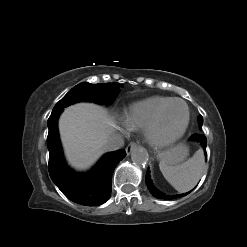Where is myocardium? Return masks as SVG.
<instances>
[{
	"label": "myocardium",
	"instance_id": "1",
	"mask_svg": "<svg viewBox=\"0 0 247 247\" xmlns=\"http://www.w3.org/2000/svg\"><path fill=\"white\" fill-rule=\"evenodd\" d=\"M175 102H180L184 104L186 108L185 122L176 133L171 134V135H163L159 132L160 120L164 112L166 111V109ZM189 123H190V109H189L188 104L183 99L172 98L167 103H165L154 115L153 119L151 120L147 128L145 129L146 138L148 142L156 148L167 147L169 145H172L176 141H178L184 135V133L186 132L189 126Z\"/></svg>",
	"mask_w": 247,
	"mask_h": 247
}]
</instances>
